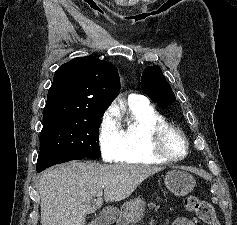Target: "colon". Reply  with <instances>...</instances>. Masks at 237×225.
Listing matches in <instances>:
<instances>
[{"label": "colon", "instance_id": "1", "mask_svg": "<svg viewBox=\"0 0 237 225\" xmlns=\"http://www.w3.org/2000/svg\"><path fill=\"white\" fill-rule=\"evenodd\" d=\"M184 205L188 211L195 212L205 225H219L214 207L207 201L187 196Z\"/></svg>", "mask_w": 237, "mask_h": 225}]
</instances>
